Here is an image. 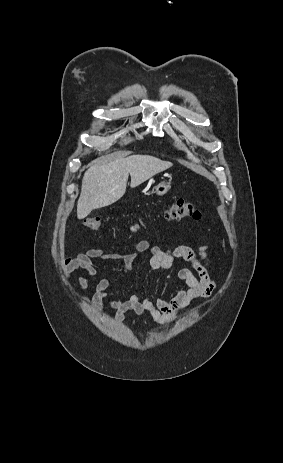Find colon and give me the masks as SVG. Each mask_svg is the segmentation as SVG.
Returning <instances> with one entry per match:
<instances>
[{"label": "colon", "mask_w": 283, "mask_h": 463, "mask_svg": "<svg viewBox=\"0 0 283 463\" xmlns=\"http://www.w3.org/2000/svg\"><path fill=\"white\" fill-rule=\"evenodd\" d=\"M165 217L169 220H182L187 218L199 219L200 213L194 206L184 199L174 201L167 209ZM84 227L89 231L97 232L100 230L103 220L101 217L86 218L83 222ZM138 229V224H133L132 231Z\"/></svg>", "instance_id": "obj_1"}]
</instances>
